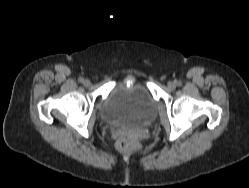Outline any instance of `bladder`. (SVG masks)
Masks as SVG:
<instances>
[{"mask_svg":"<svg viewBox=\"0 0 249 188\" xmlns=\"http://www.w3.org/2000/svg\"><path fill=\"white\" fill-rule=\"evenodd\" d=\"M157 115V103L142 83L117 85L101 109V117L119 126H141Z\"/></svg>","mask_w":249,"mask_h":188,"instance_id":"obj_1","label":"bladder"}]
</instances>
